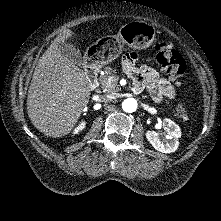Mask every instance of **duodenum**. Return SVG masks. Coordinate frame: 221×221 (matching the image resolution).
<instances>
[{"mask_svg":"<svg viewBox=\"0 0 221 221\" xmlns=\"http://www.w3.org/2000/svg\"><path fill=\"white\" fill-rule=\"evenodd\" d=\"M98 73H99V68L94 63V60L88 59L85 66V74L90 85L96 84Z\"/></svg>","mask_w":221,"mask_h":221,"instance_id":"1","label":"duodenum"}]
</instances>
